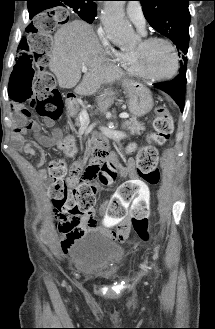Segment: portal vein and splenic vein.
I'll list each match as a JSON object with an SVG mask.
<instances>
[{"mask_svg":"<svg viewBox=\"0 0 215 329\" xmlns=\"http://www.w3.org/2000/svg\"><path fill=\"white\" fill-rule=\"evenodd\" d=\"M82 72L86 73L88 71L87 67L86 66H83L81 68ZM129 115L127 113H121L120 114V118L122 119H126L128 118ZM80 121L84 124H89L90 120H89V116H88V113L85 109H83L80 113Z\"/></svg>","mask_w":215,"mask_h":329,"instance_id":"obj_1","label":"portal vein and splenic vein"}]
</instances>
